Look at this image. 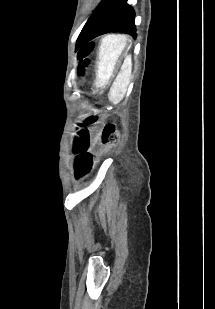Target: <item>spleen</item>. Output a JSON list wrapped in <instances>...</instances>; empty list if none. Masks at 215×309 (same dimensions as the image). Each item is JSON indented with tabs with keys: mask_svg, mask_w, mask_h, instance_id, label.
<instances>
[{
	"mask_svg": "<svg viewBox=\"0 0 215 309\" xmlns=\"http://www.w3.org/2000/svg\"><path fill=\"white\" fill-rule=\"evenodd\" d=\"M122 74H123V68H121L114 84H118V86H121V92L120 94H117V96H114L113 98V102L114 104H118V102H120V100H122L125 92H126V88H127V84L125 82L126 78H122Z\"/></svg>",
	"mask_w": 215,
	"mask_h": 309,
	"instance_id": "obj_1",
	"label": "spleen"
}]
</instances>
